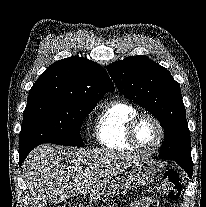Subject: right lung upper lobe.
I'll return each instance as SVG.
<instances>
[{"mask_svg": "<svg viewBox=\"0 0 206 207\" xmlns=\"http://www.w3.org/2000/svg\"><path fill=\"white\" fill-rule=\"evenodd\" d=\"M114 86L105 69L86 58L72 56L53 63L40 75L28 101L58 99L96 104Z\"/></svg>", "mask_w": 206, "mask_h": 207, "instance_id": "1", "label": "right lung upper lobe"}]
</instances>
